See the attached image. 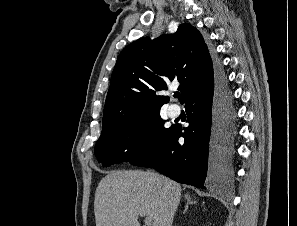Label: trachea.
<instances>
[{"label": "trachea", "instance_id": "trachea-1", "mask_svg": "<svg viewBox=\"0 0 297 226\" xmlns=\"http://www.w3.org/2000/svg\"><path fill=\"white\" fill-rule=\"evenodd\" d=\"M174 97L179 98V97H180V93H179V92H176V93L174 94Z\"/></svg>", "mask_w": 297, "mask_h": 226}]
</instances>
